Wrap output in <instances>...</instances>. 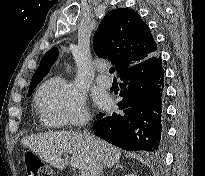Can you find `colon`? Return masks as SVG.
I'll return each instance as SVG.
<instances>
[{"label": "colon", "mask_w": 205, "mask_h": 176, "mask_svg": "<svg viewBox=\"0 0 205 176\" xmlns=\"http://www.w3.org/2000/svg\"><path fill=\"white\" fill-rule=\"evenodd\" d=\"M24 162L27 167V176H52L51 168L33 152L24 154Z\"/></svg>", "instance_id": "5ec220e1"}]
</instances>
